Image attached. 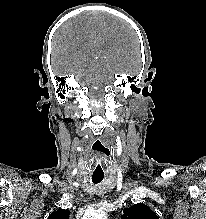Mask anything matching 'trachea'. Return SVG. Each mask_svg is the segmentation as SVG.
Instances as JSON below:
<instances>
[{
    "instance_id": "obj_1",
    "label": "trachea",
    "mask_w": 206,
    "mask_h": 219,
    "mask_svg": "<svg viewBox=\"0 0 206 219\" xmlns=\"http://www.w3.org/2000/svg\"><path fill=\"white\" fill-rule=\"evenodd\" d=\"M104 179V174H93L92 182L94 184L100 183Z\"/></svg>"
}]
</instances>
